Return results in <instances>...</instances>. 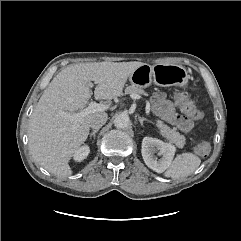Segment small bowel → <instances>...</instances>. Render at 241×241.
<instances>
[{"instance_id":"1","label":"small bowel","mask_w":241,"mask_h":241,"mask_svg":"<svg viewBox=\"0 0 241 241\" xmlns=\"http://www.w3.org/2000/svg\"><path fill=\"white\" fill-rule=\"evenodd\" d=\"M153 102L155 112L158 116L176 126L184 133H188L193 129V123L176 111L174 104L166 98L164 93H155Z\"/></svg>"}]
</instances>
